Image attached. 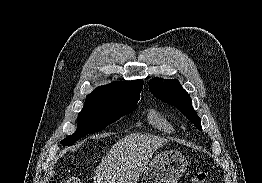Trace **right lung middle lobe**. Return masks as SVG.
I'll use <instances>...</instances> for the list:
<instances>
[{"label": "right lung middle lobe", "mask_w": 262, "mask_h": 183, "mask_svg": "<svg viewBox=\"0 0 262 183\" xmlns=\"http://www.w3.org/2000/svg\"><path fill=\"white\" fill-rule=\"evenodd\" d=\"M138 101L139 99L121 102L86 99L82 111L78 114L76 132L67 136L61 141V144L64 146L73 145L84 135L103 130L109 124L117 121L120 117L135 110Z\"/></svg>", "instance_id": "obj_1"}]
</instances>
